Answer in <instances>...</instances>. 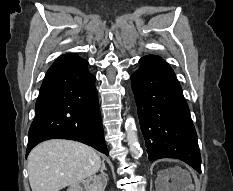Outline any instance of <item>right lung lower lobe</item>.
<instances>
[{
	"mask_svg": "<svg viewBox=\"0 0 233 191\" xmlns=\"http://www.w3.org/2000/svg\"><path fill=\"white\" fill-rule=\"evenodd\" d=\"M77 55L59 57L49 68L36 102L26 157L38 143L54 138L90 145L108 156L95 76Z\"/></svg>",
	"mask_w": 233,
	"mask_h": 191,
	"instance_id": "right-lung-lower-lobe-1",
	"label": "right lung lower lobe"
}]
</instances>
